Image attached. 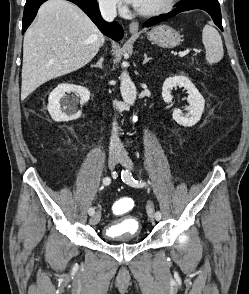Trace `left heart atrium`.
I'll return each mask as SVG.
<instances>
[{"label": "left heart atrium", "instance_id": "obj_1", "mask_svg": "<svg viewBox=\"0 0 249 294\" xmlns=\"http://www.w3.org/2000/svg\"><path fill=\"white\" fill-rule=\"evenodd\" d=\"M126 1L129 2V3H132L134 5H137L138 2H139V0H126Z\"/></svg>", "mask_w": 249, "mask_h": 294}]
</instances>
